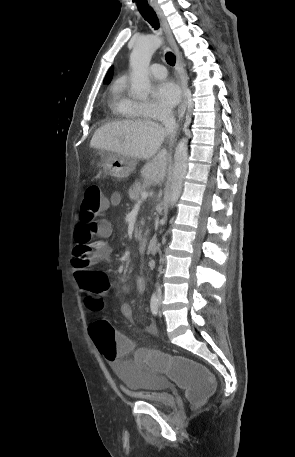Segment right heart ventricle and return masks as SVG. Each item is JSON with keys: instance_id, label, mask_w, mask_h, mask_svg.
<instances>
[{"instance_id": "e07e8e85", "label": "right heart ventricle", "mask_w": 295, "mask_h": 457, "mask_svg": "<svg viewBox=\"0 0 295 457\" xmlns=\"http://www.w3.org/2000/svg\"><path fill=\"white\" fill-rule=\"evenodd\" d=\"M109 105L119 118L134 120L140 117L137 102L128 96L126 84L122 80L115 81L110 87Z\"/></svg>"}]
</instances>
